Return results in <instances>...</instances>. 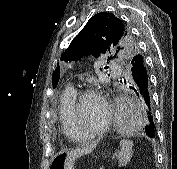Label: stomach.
I'll use <instances>...</instances> for the list:
<instances>
[{
	"instance_id": "1",
	"label": "stomach",
	"mask_w": 177,
	"mask_h": 169,
	"mask_svg": "<svg viewBox=\"0 0 177 169\" xmlns=\"http://www.w3.org/2000/svg\"><path fill=\"white\" fill-rule=\"evenodd\" d=\"M65 158L64 154L55 155L50 163V169H67L65 167Z\"/></svg>"
}]
</instances>
